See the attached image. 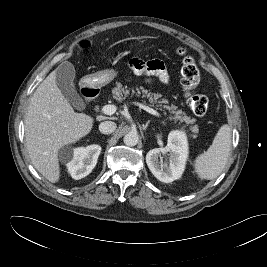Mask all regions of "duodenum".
<instances>
[{
  "label": "duodenum",
  "mask_w": 267,
  "mask_h": 267,
  "mask_svg": "<svg viewBox=\"0 0 267 267\" xmlns=\"http://www.w3.org/2000/svg\"><path fill=\"white\" fill-rule=\"evenodd\" d=\"M83 92L90 98H93L97 94V89L92 85H84L82 88Z\"/></svg>",
  "instance_id": "410a0bca"
}]
</instances>
